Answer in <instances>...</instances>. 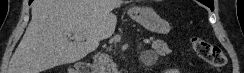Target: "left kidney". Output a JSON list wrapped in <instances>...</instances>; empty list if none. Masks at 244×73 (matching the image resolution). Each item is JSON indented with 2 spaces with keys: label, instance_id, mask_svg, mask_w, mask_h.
Here are the masks:
<instances>
[{
  "label": "left kidney",
  "instance_id": "left-kidney-1",
  "mask_svg": "<svg viewBox=\"0 0 244 73\" xmlns=\"http://www.w3.org/2000/svg\"><path fill=\"white\" fill-rule=\"evenodd\" d=\"M180 71L178 69H170L168 73H179Z\"/></svg>",
  "mask_w": 244,
  "mask_h": 73
}]
</instances>
